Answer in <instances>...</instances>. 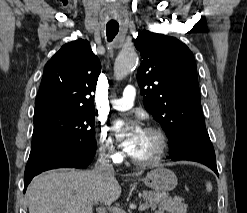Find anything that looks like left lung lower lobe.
Masks as SVG:
<instances>
[{
    "label": "left lung lower lobe",
    "mask_w": 247,
    "mask_h": 213,
    "mask_svg": "<svg viewBox=\"0 0 247 213\" xmlns=\"http://www.w3.org/2000/svg\"><path fill=\"white\" fill-rule=\"evenodd\" d=\"M169 153V158L173 161H196L208 166L218 175L214 148L206 129L190 130L180 144L169 149Z\"/></svg>",
    "instance_id": "obj_1"
}]
</instances>
